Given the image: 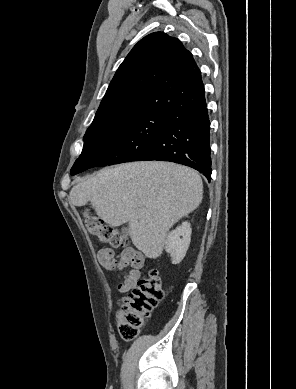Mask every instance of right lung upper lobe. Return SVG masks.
Instances as JSON below:
<instances>
[{
    "instance_id": "right-lung-upper-lobe-1",
    "label": "right lung upper lobe",
    "mask_w": 296,
    "mask_h": 389,
    "mask_svg": "<svg viewBox=\"0 0 296 389\" xmlns=\"http://www.w3.org/2000/svg\"><path fill=\"white\" fill-rule=\"evenodd\" d=\"M204 103V85L192 54L177 38L155 32L140 40L119 66L95 118L133 113L174 118Z\"/></svg>"
}]
</instances>
